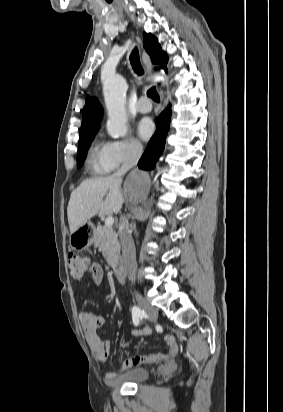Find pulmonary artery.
<instances>
[{
  "instance_id": "obj_1",
  "label": "pulmonary artery",
  "mask_w": 283,
  "mask_h": 412,
  "mask_svg": "<svg viewBox=\"0 0 283 412\" xmlns=\"http://www.w3.org/2000/svg\"><path fill=\"white\" fill-rule=\"evenodd\" d=\"M151 104L146 97H141L137 103V111L140 113H148L151 110Z\"/></svg>"
}]
</instances>
